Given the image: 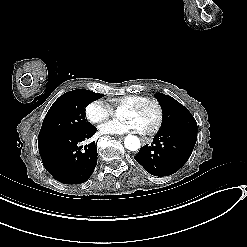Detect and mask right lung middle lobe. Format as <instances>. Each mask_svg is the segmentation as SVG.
<instances>
[{"mask_svg":"<svg viewBox=\"0 0 247 247\" xmlns=\"http://www.w3.org/2000/svg\"><path fill=\"white\" fill-rule=\"evenodd\" d=\"M102 96L85 89H76L61 95L47 112L38 138L86 130L91 124L85 119V107Z\"/></svg>","mask_w":247,"mask_h":247,"instance_id":"right-lung-middle-lobe-1","label":"right lung middle lobe"}]
</instances>
